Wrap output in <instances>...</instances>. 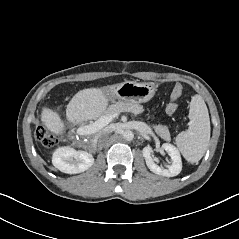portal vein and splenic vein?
Returning <instances> with one entry per match:
<instances>
[{
  "label": "portal vein and splenic vein",
  "instance_id": "1",
  "mask_svg": "<svg viewBox=\"0 0 239 239\" xmlns=\"http://www.w3.org/2000/svg\"><path fill=\"white\" fill-rule=\"evenodd\" d=\"M121 111L115 112L110 115H104L100 117L97 121L93 122L92 124H89L85 126L84 132L86 134H93L107 126L114 118L118 117Z\"/></svg>",
  "mask_w": 239,
  "mask_h": 239
}]
</instances>
